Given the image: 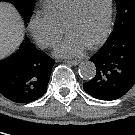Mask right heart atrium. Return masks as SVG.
Listing matches in <instances>:
<instances>
[{
	"mask_svg": "<svg viewBox=\"0 0 135 135\" xmlns=\"http://www.w3.org/2000/svg\"><path fill=\"white\" fill-rule=\"evenodd\" d=\"M29 30L35 41L43 48L54 47L62 33L61 28L44 12L36 13L31 17Z\"/></svg>",
	"mask_w": 135,
	"mask_h": 135,
	"instance_id": "d8ad5b80",
	"label": "right heart atrium"
}]
</instances>
